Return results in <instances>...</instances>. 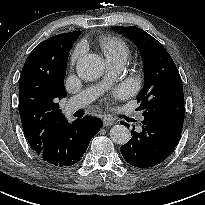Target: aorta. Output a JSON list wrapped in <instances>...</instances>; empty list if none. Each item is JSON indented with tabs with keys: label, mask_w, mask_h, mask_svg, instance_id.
<instances>
[{
	"label": "aorta",
	"mask_w": 205,
	"mask_h": 205,
	"mask_svg": "<svg viewBox=\"0 0 205 205\" xmlns=\"http://www.w3.org/2000/svg\"><path fill=\"white\" fill-rule=\"evenodd\" d=\"M76 70L81 79L93 81L103 74L104 61L99 55L85 54L77 61ZM110 138L114 143L123 145L130 140V132L124 125H114L110 129Z\"/></svg>",
	"instance_id": "1"
}]
</instances>
